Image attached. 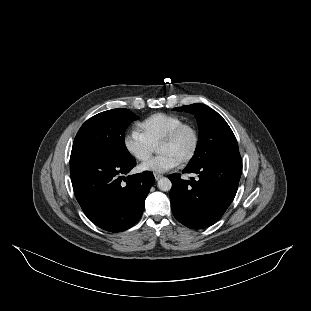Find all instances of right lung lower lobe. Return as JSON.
Segmentation results:
<instances>
[{"instance_id": "1", "label": "right lung lower lobe", "mask_w": 311, "mask_h": 311, "mask_svg": "<svg viewBox=\"0 0 311 311\" xmlns=\"http://www.w3.org/2000/svg\"><path fill=\"white\" fill-rule=\"evenodd\" d=\"M136 160L89 153L70 160L74 193L85 215L110 232L125 231L142 216L145 199L155 182L150 171L123 177ZM122 179L126 184L121 183Z\"/></svg>"}]
</instances>
